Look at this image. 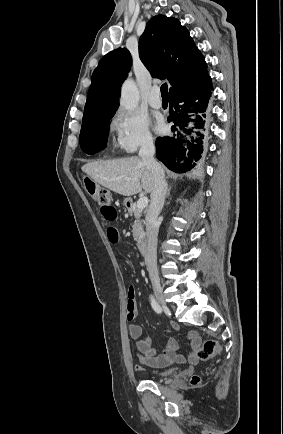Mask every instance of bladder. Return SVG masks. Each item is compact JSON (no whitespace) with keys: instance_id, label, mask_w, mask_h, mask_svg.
<instances>
[{"instance_id":"obj_1","label":"bladder","mask_w":283,"mask_h":434,"mask_svg":"<svg viewBox=\"0 0 283 434\" xmlns=\"http://www.w3.org/2000/svg\"><path fill=\"white\" fill-rule=\"evenodd\" d=\"M176 371H177L176 368H169L166 370H151V371H148L147 373L154 378H162V377L172 375V374L176 373Z\"/></svg>"}]
</instances>
